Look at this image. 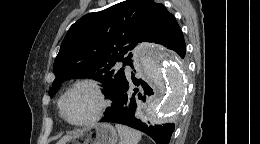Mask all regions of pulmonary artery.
I'll return each instance as SVG.
<instances>
[{
    "label": "pulmonary artery",
    "instance_id": "pulmonary-artery-1",
    "mask_svg": "<svg viewBox=\"0 0 260 144\" xmlns=\"http://www.w3.org/2000/svg\"><path fill=\"white\" fill-rule=\"evenodd\" d=\"M117 66H118V67H122V63H121V62H118V63H117ZM126 70L128 71V68H127V67H126Z\"/></svg>",
    "mask_w": 260,
    "mask_h": 144
}]
</instances>
